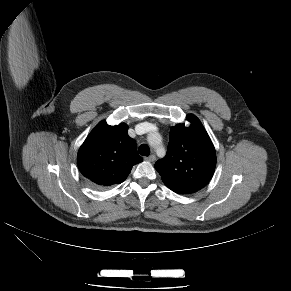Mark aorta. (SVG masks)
<instances>
[{
	"mask_svg": "<svg viewBox=\"0 0 291 291\" xmlns=\"http://www.w3.org/2000/svg\"><path fill=\"white\" fill-rule=\"evenodd\" d=\"M154 138L159 140L160 139V135L158 133L154 134ZM149 143L151 145H155V142L152 139H149Z\"/></svg>",
	"mask_w": 291,
	"mask_h": 291,
	"instance_id": "762f6f07",
	"label": "aorta"
}]
</instances>
